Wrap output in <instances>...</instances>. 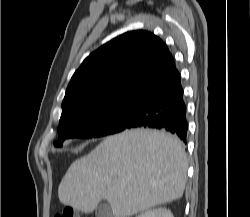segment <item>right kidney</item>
Masks as SVG:
<instances>
[{"instance_id": "1", "label": "right kidney", "mask_w": 250, "mask_h": 217, "mask_svg": "<svg viewBox=\"0 0 250 217\" xmlns=\"http://www.w3.org/2000/svg\"><path fill=\"white\" fill-rule=\"evenodd\" d=\"M137 217H174V216L169 209H166L164 207H159L147 210L138 215Z\"/></svg>"}]
</instances>
